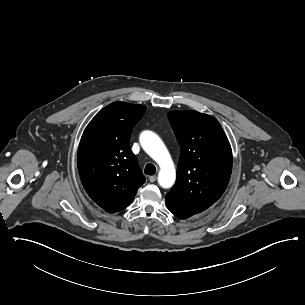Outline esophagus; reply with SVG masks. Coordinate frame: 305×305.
<instances>
[{
	"instance_id": "esophagus-1",
	"label": "esophagus",
	"mask_w": 305,
	"mask_h": 305,
	"mask_svg": "<svg viewBox=\"0 0 305 305\" xmlns=\"http://www.w3.org/2000/svg\"><path fill=\"white\" fill-rule=\"evenodd\" d=\"M157 180V176L156 175H153V176H150L149 177V181L152 183V182H155Z\"/></svg>"
}]
</instances>
